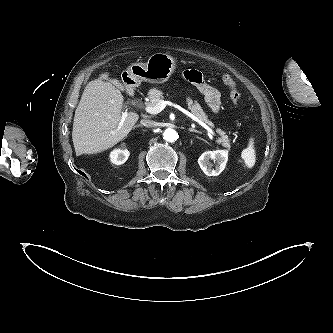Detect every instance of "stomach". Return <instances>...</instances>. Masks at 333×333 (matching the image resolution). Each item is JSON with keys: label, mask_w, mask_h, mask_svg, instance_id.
Returning <instances> with one entry per match:
<instances>
[{"label": "stomach", "mask_w": 333, "mask_h": 333, "mask_svg": "<svg viewBox=\"0 0 333 333\" xmlns=\"http://www.w3.org/2000/svg\"><path fill=\"white\" fill-rule=\"evenodd\" d=\"M176 68L175 60L165 53L151 55L146 63H133L126 72V78L132 85H139L142 81L161 84L169 80Z\"/></svg>", "instance_id": "stomach-1"}]
</instances>
